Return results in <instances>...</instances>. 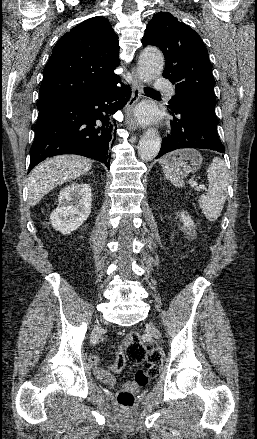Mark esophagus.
Listing matches in <instances>:
<instances>
[{
	"instance_id": "34e87169",
	"label": "esophagus",
	"mask_w": 257,
	"mask_h": 439,
	"mask_svg": "<svg viewBox=\"0 0 257 439\" xmlns=\"http://www.w3.org/2000/svg\"><path fill=\"white\" fill-rule=\"evenodd\" d=\"M143 83L137 73L135 67L132 68V95L127 103L126 125L130 130L137 129V121L135 118V106L142 96Z\"/></svg>"
}]
</instances>
